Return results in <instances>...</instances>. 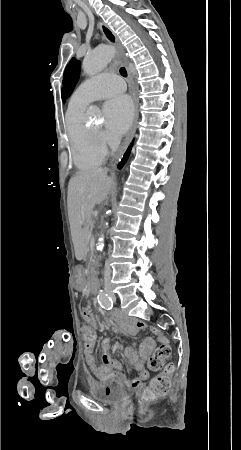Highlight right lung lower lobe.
Instances as JSON below:
<instances>
[{"mask_svg": "<svg viewBox=\"0 0 241 450\" xmlns=\"http://www.w3.org/2000/svg\"><path fill=\"white\" fill-rule=\"evenodd\" d=\"M132 146H133V143H131L130 144V146L128 147V149H127V151L125 152V154H124V156H123V158H122V160H121V162H119V164H118V168L120 169V168H122L123 167V165H124V163L127 161V159H128V157H129V154H130V151H131V148H132Z\"/></svg>", "mask_w": 241, "mask_h": 450, "instance_id": "98d812e1", "label": "right lung lower lobe"}]
</instances>
